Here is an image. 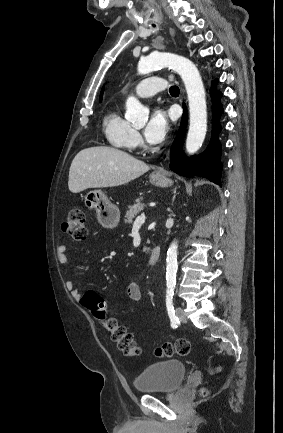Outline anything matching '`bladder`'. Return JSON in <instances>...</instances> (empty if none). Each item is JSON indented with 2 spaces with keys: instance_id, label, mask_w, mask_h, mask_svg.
<instances>
[{
  "instance_id": "bladder-1",
  "label": "bladder",
  "mask_w": 283,
  "mask_h": 433,
  "mask_svg": "<svg viewBox=\"0 0 283 433\" xmlns=\"http://www.w3.org/2000/svg\"><path fill=\"white\" fill-rule=\"evenodd\" d=\"M185 373L186 365L179 360L152 363L135 378L134 386L142 393L173 391L183 383Z\"/></svg>"
}]
</instances>
